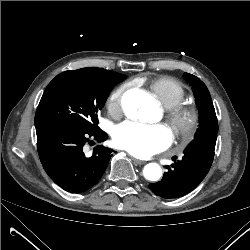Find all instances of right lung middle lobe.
I'll return each mask as SVG.
<instances>
[{
  "label": "right lung middle lobe",
  "instance_id": "dd1d6c3e",
  "mask_svg": "<svg viewBox=\"0 0 250 250\" xmlns=\"http://www.w3.org/2000/svg\"><path fill=\"white\" fill-rule=\"evenodd\" d=\"M125 75L101 68H82L57 75L38 105L35 125L65 124L99 130L98 112Z\"/></svg>",
  "mask_w": 250,
  "mask_h": 250
}]
</instances>
